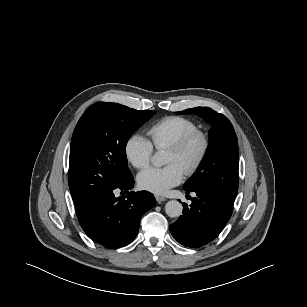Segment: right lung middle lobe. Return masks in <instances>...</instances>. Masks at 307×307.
I'll return each mask as SVG.
<instances>
[{
  "instance_id": "dd1d6c3e",
  "label": "right lung middle lobe",
  "mask_w": 307,
  "mask_h": 307,
  "mask_svg": "<svg viewBox=\"0 0 307 307\" xmlns=\"http://www.w3.org/2000/svg\"><path fill=\"white\" fill-rule=\"evenodd\" d=\"M155 113L106 102L95 103L84 112L70 147L68 183L75 206L122 185L132 176L126 144Z\"/></svg>"
}]
</instances>
